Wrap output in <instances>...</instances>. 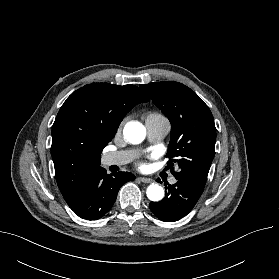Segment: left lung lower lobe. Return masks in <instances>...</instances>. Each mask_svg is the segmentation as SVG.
<instances>
[{
    "label": "left lung lower lobe",
    "instance_id": "left-lung-lower-lobe-1",
    "mask_svg": "<svg viewBox=\"0 0 279 279\" xmlns=\"http://www.w3.org/2000/svg\"><path fill=\"white\" fill-rule=\"evenodd\" d=\"M168 193L159 202H150L149 208L162 221L174 222L186 216L200 198L203 188L183 181L168 185Z\"/></svg>",
    "mask_w": 279,
    "mask_h": 279
}]
</instances>
